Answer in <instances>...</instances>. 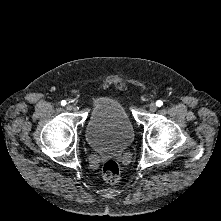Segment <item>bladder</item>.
I'll return each mask as SVG.
<instances>
[{
	"label": "bladder",
	"mask_w": 221,
	"mask_h": 221,
	"mask_svg": "<svg viewBox=\"0 0 221 221\" xmlns=\"http://www.w3.org/2000/svg\"><path fill=\"white\" fill-rule=\"evenodd\" d=\"M85 138L90 147L99 151L120 152L131 145L133 125L116 98H98L87 121Z\"/></svg>",
	"instance_id": "31cf9c89"
}]
</instances>
